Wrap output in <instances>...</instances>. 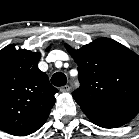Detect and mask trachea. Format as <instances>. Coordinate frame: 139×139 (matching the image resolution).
<instances>
[{
  "mask_svg": "<svg viewBox=\"0 0 139 139\" xmlns=\"http://www.w3.org/2000/svg\"><path fill=\"white\" fill-rule=\"evenodd\" d=\"M51 83L57 87L64 86L67 83V78L63 73L57 72L51 77Z\"/></svg>",
  "mask_w": 139,
  "mask_h": 139,
  "instance_id": "3493384b",
  "label": "trachea"
}]
</instances>
